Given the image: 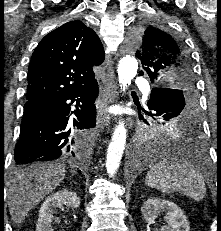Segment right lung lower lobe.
I'll list each match as a JSON object with an SVG mask.
<instances>
[{
  "mask_svg": "<svg viewBox=\"0 0 221 231\" xmlns=\"http://www.w3.org/2000/svg\"><path fill=\"white\" fill-rule=\"evenodd\" d=\"M97 81L28 99L15 146L16 164L64 159L85 149L87 131L96 124ZM75 106L77 109L71 111ZM72 114L75 117H72Z\"/></svg>",
  "mask_w": 221,
  "mask_h": 231,
  "instance_id": "obj_1",
  "label": "right lung lower lobe"
}]
</instances>
